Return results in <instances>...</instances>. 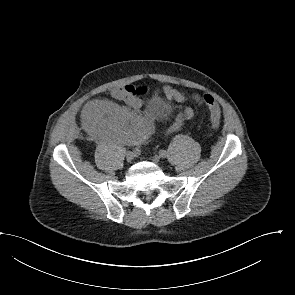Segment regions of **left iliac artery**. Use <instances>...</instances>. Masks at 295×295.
Listing matches in <instances>:
<instances>
[{
    "label": "left iliac artery",
    "mask_w": 295,
    "mask_h": 295,
    "mask_svg": "<svg viewBox=\"0 0 295 295\" xmlns=\"http://www.w3.org/2000/svg\"><path fill=\"white\" fill-rule=\"evenodd\" d=\"M159 155L164 158V157H166L167 152L162 149V150L159 151Z\"/></svg>",
    "instance_id": "44dca946"
}]
</instances>
